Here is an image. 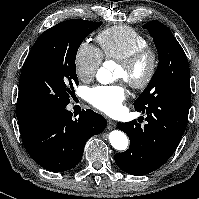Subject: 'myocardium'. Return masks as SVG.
<instances>
[{
	"instance_id": "obj_1",
	"label": "myocardium",
	"mask_w": 199,
	"mask_h": 199,
	"mask_svg": "<svg viewBox=\"0 0 199 199\" xmlns=\"http://www.w3.org/2000/svg\"><path fill=\"white\" fill-rule=\"evenodd\" d=\"M119 65L132 73L141 63H146L145 73L141 77L130 76L126 82L133 88L142 90L153 81L158 67V56L155 50L146 46L138 49L118 61Z\"/></svg>"
}]
</instances>
